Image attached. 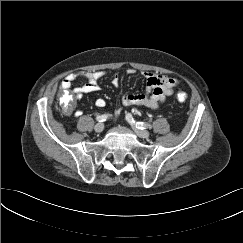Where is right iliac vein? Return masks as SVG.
<instances>
[{
  "mask_svg": "<svg viewBox=\"0 0 243 243\" xmlns=\"http://www.w3.org/2000/svg\"><path fill=\"white\" fill-rule=\"evenodd\" d=\"M94 130L97 133H101L104 130V124L103 123L96 124Z\"/></svg>",
  "mask_w": 243,
  "mask_h": 243,
  "instance_id": "obj_1",
  "label": "right iliac vein"
}]
</instances>
